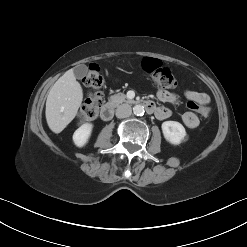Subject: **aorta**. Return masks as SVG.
I'll return each mask as SVG.
<instances>
[{
    "instance_id": "aorta-1",
    "label": "aorta",
    "mask_w": 247,
    "mask_h": 247,
    "mask_svg": "<svg viewBox=\"0 0 247 247\" xmlns=\"http://www.w3.org/2000/svg\"><path fill=\"white\" fill-rule=\"evenodd\" d=\"M133 112L137 116H142L144 114V107L142 105H135L133 107Z\"/></svg>"
}]
</instances>
